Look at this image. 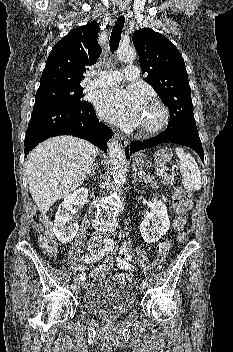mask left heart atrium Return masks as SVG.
<instances>
[{
	"label": "left heart atrium",
	"instance_id": "left-heart-atrium-1",
	"mask_svg": "<svg viewBox=\"0 0 233 352\" xmlns=\"http://www.w3.org/2000/svg\"><path fill=\"white\" fill-rule=\"evenodd\" d=\"M146 104L142 91L136 87H111L96 97L99 115L121 127L137 126Z\"/></svg>",
	"mask_w": 233,
	"mask_h": 352
}]
</instances>
